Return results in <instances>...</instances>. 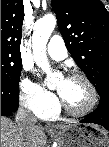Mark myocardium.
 <instances>
[{
  "instance_id": "myocardium-1",
  "label": "myocardium",
  "mask_w": 109,
  "mask_h": 147,
  "mask_svg": "<svg viewBox=\"0 0 109 147\" xmlns=\"http://www.w3.org/2000/svg\"><path fill=\"white\" fill-rule=\"evenodd\" d=\"M67 78L68 79H80L84 81L91 91L92 100H91L90 105L87 108L83 110H74L66 103L65 99L59 94V108L64 110L67 114L72 115V116H84V115L91 113L98 103V92H97L96 87L92 83V81L86 75L81 74V73H72Z\"/></svg>"
}]
</instances>
